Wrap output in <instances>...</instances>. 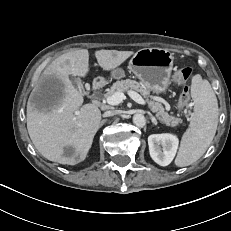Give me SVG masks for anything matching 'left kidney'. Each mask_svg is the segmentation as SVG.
<instances>
[{"label": "left kidney", "mask_w": 231, "mask_h": 231, "mask_svg": "<svg viewBox=\"0 0 231 231\" xmlns=\"http://www.w3.org/2000/svg\"><path fill=\"white\" fill-rule=\"evenodd\" d=\"M179 140L169 133L152 134L148 137L151 158L161 166L169 165L177 152Z\"/></svg>", "instance_id": "1"}]
</instances>
